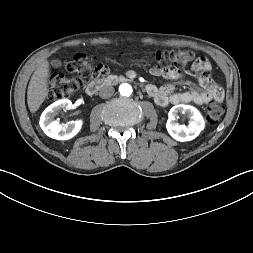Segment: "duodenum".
<instances>
[{"instance_id": "obj_1", "label": "duodenum", "mask_w": 253, "mask_h": 253, "mask_svg": "<svg viewBox=\"0 0 253 253\" xmlns=\"http://www.w3.org/2000/svg\"><path fill=\"white\" fill-rule=\"evenodd\" d=\"M125 77L108 76L105 78H99L90 82L86 87V93L90 96L95 95L105 85L126 81Z\"/></svg>"}]
</instances>
